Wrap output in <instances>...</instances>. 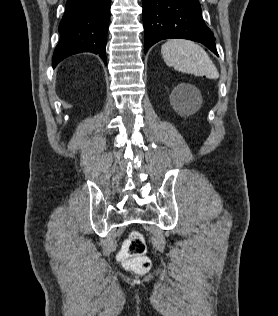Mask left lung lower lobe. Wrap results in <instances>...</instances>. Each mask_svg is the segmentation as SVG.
Returning a JSON list of instances; mask_svg holds the SVG:
<instances>
[{
  "label": "left lung lower lobe",
  "mask_w": 278,
  "mask_h": 316,
  "mask_svg": "<svg viewBox=\"0 0 278 316\" xmlns=\"http://www.w3.org/2000/svg\"><path fill=\"white\" fill-rule=\"evenodd\" d=\"M143 24L145 53L160 40L182 38L200 42L218 56L198 0H143Z\"/></svg>",
  "instance_id": "left-lung-lower-lobe-1"
}]
</instances>
